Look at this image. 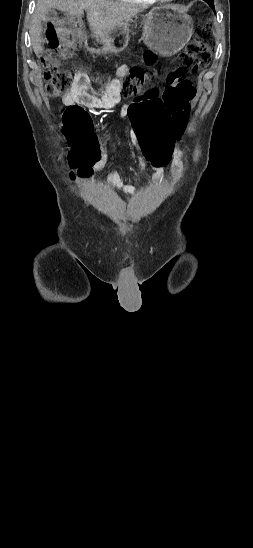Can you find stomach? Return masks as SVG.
<instances>
[{"mask_svg": "<svg viewBox=\"0 0 253 548\" xmlns=\"http://www.w3.org/2000/svg\"><path fill=\"white\" fill-rule=\"evenodd\" d=\"M192 34L191 17L175 6L155 7L143 18L144 43L162 56H171L180 51ZM92 39L93 43L87 45L92 53H120L128 45L129 29L126 24L105 37L94 34Z\"/></svg>", "mask_w": 253, "mask_h": 548, "instance_id": "stomach-1", "label": "stomach"}]
</instances>
